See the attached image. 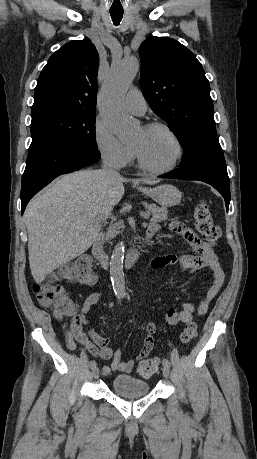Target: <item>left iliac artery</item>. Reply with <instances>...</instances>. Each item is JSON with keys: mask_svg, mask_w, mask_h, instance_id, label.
<instances>
[{"mask_svg": "<svg viewBox=\"0 0 257 459\" xmlns=\"http://www.w3.org/2000/svg\"><path fill=\"white\" fill-rule=\"evenodd\" d=\"M162 364H163V366H166V367H169V368H170V362H169L168 359L164 358V359L162 360Z\"/></svg>", "mask_w": 257, "mask_h": 459, "instance_id": "44dca946", "label": "left iliac artery"}]
</instances>
